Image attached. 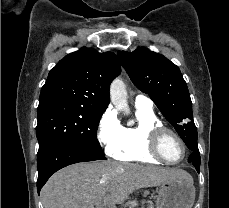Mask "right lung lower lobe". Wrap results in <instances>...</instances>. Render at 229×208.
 I'll return each instance as SVG.
<instances>
[{
  "label": "right lung lower lobe",
  "mask_w": 229,
  "mask_h": 208,
  "mask_svg": "<svg viewBox=\"0 0 229 208\" xmlns=\"http://www.w3.org/2000/svg\"><path fill=\"white\" fill-rule=\"evenodd\" d=\"M106 159L102 152L94 151L77 143L57 144L37 156L38 180L37 191L40 192L49 177L68 165Z\"/></svg>",
  "instance_id": "98d812e1"
}]
</instances>
